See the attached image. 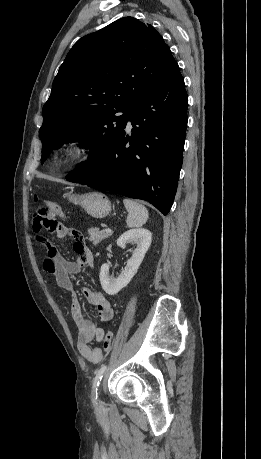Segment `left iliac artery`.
I'll return each instance as SVG.
<instances>
[{
    "instance_id": "44dca946",
    "label": "left iliac artery",
    "mask_w": 261,
    "mask_h": 459,
    "mask_svg": "<svg viewBox=\"0 0 261 459\" xmlns=\"http://www.w3.org/2000/svg\"><path fill=\"white\" fill-rule=\"evenodd\" d=\"M106 369H107V366L104 365L96 373V376H95L94 381H93V390H92V392H93V401L95 399H97V387L99 386L100 381H101ZM95 392H96V396H94Z\"/></svg>"
}]
</instances>
